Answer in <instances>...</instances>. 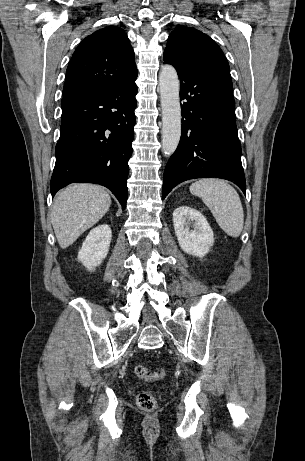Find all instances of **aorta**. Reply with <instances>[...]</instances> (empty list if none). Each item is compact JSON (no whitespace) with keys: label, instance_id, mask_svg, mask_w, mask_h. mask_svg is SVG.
Returning a JSON list of instances; mask_svg holds the SVG:
<instances>
[{"label":"aorta","instance_id":"762f6f07","mask_svg":"<svg viewBox=\"0 0 305 461\" xmlns=\"http://www.w3.org/2000/svg\"><path fill=\"white\" fill-rule=\"evenodd\" d=\"M160 99L162 107V151L172 155L181 136V107L179 79L172 65H164L159 74Z\"/></svg>","mask_w":305,"mask_h":461}]
</instances>
